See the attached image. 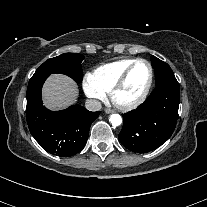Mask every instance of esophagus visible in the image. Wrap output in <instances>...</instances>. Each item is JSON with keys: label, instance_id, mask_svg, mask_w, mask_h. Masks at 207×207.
I'll return each instance as SVG.
<instances>
[{"label": "esophagus", "instance_id": "34e87169", "mask_svg": "<svg viewBox=\"0 0 207 207\" xmlns=\"http://www.w3.org/2000/svg\"><path fill=\"white\" fill-rule=\"evenodd\" d=\"M105 113L106 114H111V113H113V110L112 109H105Z\"/></svg>", "mask_w": 207, "mask_h": 207}]
</instances>
